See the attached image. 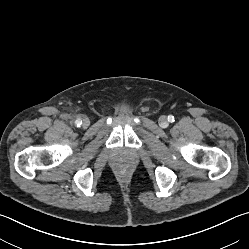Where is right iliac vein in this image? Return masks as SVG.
I'll return each mask as SVG.
<instances>
[{
	"label": "right iliac vein",
	"instance_id": "obj_1",
	"mask_svg": "<svg viewBox=\"0 0 249 249\" xmlns=\"http://www.w3.org/2000/svg\"><path fill=\"white\" fill-rule=\"evenodd\" d=\"M89 124H90L89 119L88 118H84L83 121H82V126L84 128H87L89 126Z\"/></svg>",
	"mask_w": 249,
	"mask_h": 249
}]
</instances>
